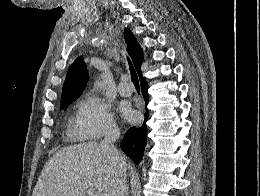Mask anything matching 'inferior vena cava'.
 <instances>
[{
    "label": "inferior vena cava",
    "instance_id": "inferior-vena-cava-1",
    "mask_svg": "<svg viewBox=\"0 0 260 196\" xmlns=\"http://www.w3.org/2000/svg\"><path fill=\"white\" fill-rule=\"evenodd\" d=\"M120 132L117 130H110L106 134L104 140H101L99 146L106 154H111L113 162L118 164L117 172L113 180V190L110 196H125L126 192V162L124 156L116 150L114 142L118 140Z\"/></svg>",
    "mask_w": 260,
    "mask_h": 196
}]
</instances>
